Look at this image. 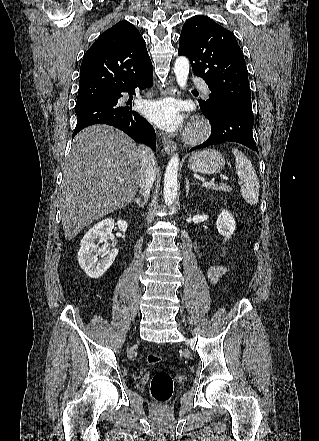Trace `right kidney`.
<instances>
[{
	"instance_id": "obj_1",
	"label": "right kidney",
	"mask_w": 319,
	"mask_h": 441,
	"mask_svg": "<svg viewBox=\"0 0 319 441\" xmlns=\"http://www.w3.org/2000/svg\"><path fill=\"white\" fill-rule=\"evenodd\" d=\"M118 228L126 232L128 224L124 220H118ZM115 221L112 218L104 219L88 230L80 242L78 261L87 276L97 279L101 277L112 265L118 249L111 247L106 242V237L114 229ZM98 241V243H97ZM99 243H102L99 246ZM102 259L98 261L97 256L102 254Z\"/></svg>"
}]
</instances>
